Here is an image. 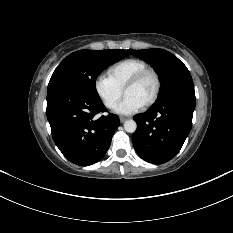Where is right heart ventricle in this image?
<instances>
[{"label":"right heart ventricle","mask_w":233,"mask_h":233,"mask_svg":"<svg viewBox=\"0 0 233 233\" xmlns=\"http://www.w3.org/2000/svg\"><path fill=\"white\" fill-rule=\"evenodd\" d=\"M148 67V64L138 58H128L119 61L108 69V76L114 83L124 89L126 83L139 71Z\"/></svg>","instance_id":"obj_1"}]
</instances>
